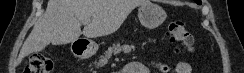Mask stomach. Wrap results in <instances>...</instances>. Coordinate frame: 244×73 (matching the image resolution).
<instances>
[{
    "mask_svg": "<svg viewBox=\"0 0 244 73\" xmlns=\"http://www.w3.org/2000/svg\"><path fill=\"white\" fill-rule=\"evenodd\" d=\"M166 17V12L161 6L149 1L142 4L138 9V18L141 24L149 29H153L161 25L165 21ZM97 50L98 45L91 43V45L80 54V56L89 57L96 53Z\"/></svg>",
    "mask_w": 244,
    "mask_h": 73,
    "instance_id": "stomach-1",
    "label": "stomach"
}]
</instances>
